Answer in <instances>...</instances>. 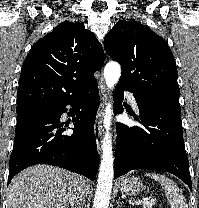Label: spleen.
<instances>
[{
	"label": "spleen",
	"mask_w": 199,
	"mask_h": 208,
	"mask_svg": "<svg viewBox=\"0 0 199 208\" xmlns=\"http://www.w3.org/2000/svg\"><path fill=\"white\" fill-rule=\"evenodd\" d=\"M146 176L151 177L161 184L171 208H188L184 195L174 181L161 174L147 173Z\"/></svg>",
	"instance_id": "spleen-1"
}]
</instances>
